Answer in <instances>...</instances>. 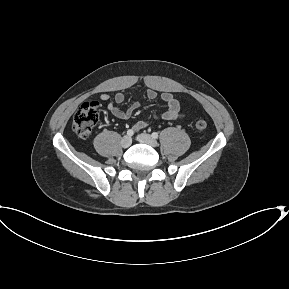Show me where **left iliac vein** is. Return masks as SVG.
Masks as SVG:
<instances>
[{
	"instance_id": "1",
	"label": "left iliac vein",
	"mask_w": 289,
	"mask_h": 289,
	"mask_svg": "<svg viewBox=\"0 0 289 289\" xmlns=\"http://www.w3.org/2000/svg\"><path fill=\"white\" fill-rule=\"evenodd\" d=\"M137 140L141 143L148 144L152 147L158 146V142L152 136H150L149 134H146V133L139 134L137 136Z\"/></svg>"
}]
</instances>
